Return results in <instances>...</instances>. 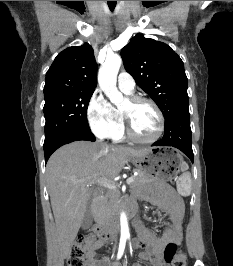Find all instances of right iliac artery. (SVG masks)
<instances>
[{
    "mask_svg": "<svg viewBox=\"0 0 233 266\" xmlns=\"http://www.w3.org/2000/svg\"><path fill=\"white\" fill-rule=\"evenodd\" d=\"M126 239H121L119 244V250L117 254V259H120L123 255L124 248H125Z\"/></svg>",
    "mask_w": 233,
    "mask_h": 266,
    "instance_id": "1",
    "label": "right iliac artery"
}]
</instances>
